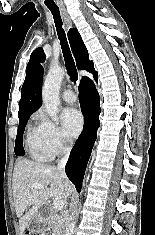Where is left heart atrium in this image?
<instances>
[{
  "label": "left heart atrium",
  "instance_id": "1",
  "mask_svg": "<svg viewBox=\"0 0 155 235\" xmlns=\"http://www.w3.org/2000/svg\"><path fill=\"white\" fill-rule=\"evenodd\" d=\"M62 121L64 132L69 137H76L81 132L84 124L82 114L74 108L63 111Z\"/></svg>",
  "mask_w": 155,
  "mask_h": 235
}]
</instances>
